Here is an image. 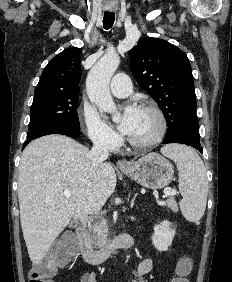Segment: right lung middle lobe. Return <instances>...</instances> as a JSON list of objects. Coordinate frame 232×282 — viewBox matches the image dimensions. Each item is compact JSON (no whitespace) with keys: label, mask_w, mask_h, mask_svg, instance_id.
Returning <instances> with one entry per match:
<instances>
[{"label":"right lung middle lobe","mask_w":232,"mask_h":282,"mask_svg":"<svg viewBox=\"0 0 232 282\" xmlns=\"http://www.w3.org/2000/svg\"><path fill=\"white\" fill-rule=\"evenodd\" d=\"M78 99L79 93H34L27 136L57 125H65L80 130L76 110Z\"/></svg>","instance_id":"obj_1"}]
</instances>
